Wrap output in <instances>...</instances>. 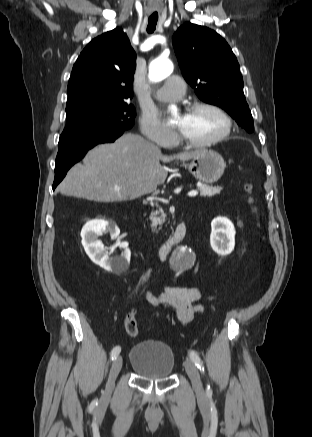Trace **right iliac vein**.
<instances>
[{"instance_id":"right-iliac-vein-1","label":"right iliac vein","mask_w":312,"mask_h":437,"mask_svg":"<svg viewBox=\"0 0 312 437\" xmlns=\"http://www.w3.org/2000/svg\"><path fill=\"white\" fill-rule=\"evenodd\" d=\"M122 357L118 356L112 363L111 369H110V374H109V378H108V383L106 386V392L104 395L105 399H108L111 395V392L113 390L114 387V382L116 377L118 376L121 368H122Z\"/></svg>"}]
</instances>
